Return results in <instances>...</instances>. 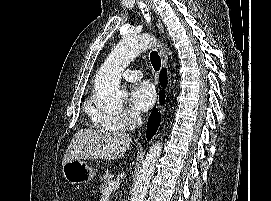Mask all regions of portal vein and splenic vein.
Listing matches in <instances>:
<instances>
[{
    "label": "portal vein and splenic vein",
    "instance_id": "obj_1",
    "mask_svg": "<svg viewBox=\"0 0 271 201\" xmlns=\"http://www.w3.org/2000/svg\"><path fill=\"white\" fill-rule=\"evenodd\" d=\"M119 187V181H112L106 190H114Z\"/></svg>",
    "mask_w": 271,
    "mask_h": 201
}]
</instances>
